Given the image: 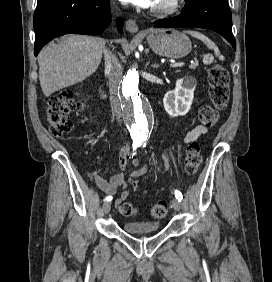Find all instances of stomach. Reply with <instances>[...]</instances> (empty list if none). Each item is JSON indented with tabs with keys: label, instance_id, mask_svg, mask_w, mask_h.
I'll list each match as a JSON object with an SVG mask.
<instances>
[{
	"label": "stomach",
	"instance_id": "obj_1",
	"mask_svg": "<svg viewBox=\"0 0 272 282\" xmlns=\"http://www.w3.org/2000/svg\"><path fill=\"white\" fill-rule=\"evenodd\" d=\"M147 42L158 55L168 58H181L192 49L190 39L175 29H151L147 31Z\"/></svg>",
	"mask_w": 272,
	"mask_h": 282
}]
</instances>
